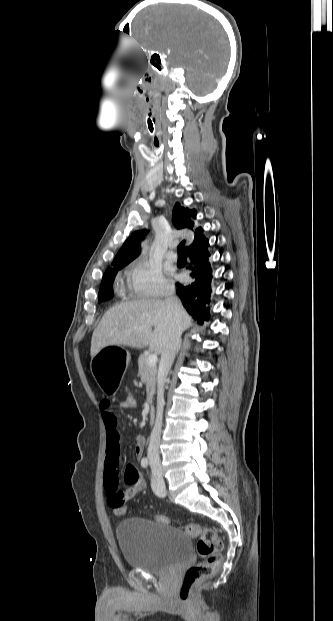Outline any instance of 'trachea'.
I'll return each mask as SVG.
<instances>
[{"mask_svg": "<svg viewBox=\"0 0 333 621\" xmlns=\"http://www.w3.org/2000/svg\"><path fill=\"white\" fill-rule=\"evenodd\" d=\"M184 247H185V242L182 241L177 248L178 254H184Z\"/></svg>", "mask_w": 333, "mask_h": 621, "instance_id": "trachea-1", "label": "trachea"}]
</instances>
